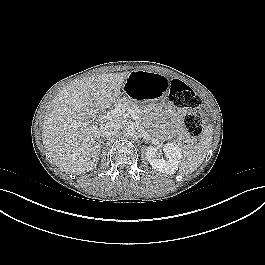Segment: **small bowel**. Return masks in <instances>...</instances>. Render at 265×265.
<instances>
[{"label": "small bowel", "instance_id": "1", "mask_svg": "<svg viewBox=\"0 0 265 265\" xmlns=\"http://www.w3.org/2000/svg\"><path fill=\"white\" fill-rule=\"evenodd\" d=\"M178 115H181L182 113L180 111L177 112Z\"/></svg>", "mask_w": 265, "mask_h": 265}]
</instances>
